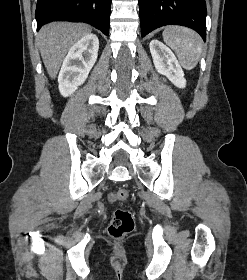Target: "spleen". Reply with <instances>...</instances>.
<instances>
[{
	"label": "spleen",
	"mask_w": 247,
	"mask_h": 280,
	"mask_svg": "<svg viewBox=\"0 0 247 280\" xmlns=\"http://www.w3.org/2000/svg\"><path fill=\"white\" fill-rule=\"evenodd\" d=\"M163 39L174 50L183 68L191 70L196 67L202 53V40L195 31L169 26L163 31Z\"/></svg>",
	"instance_id": "spleen-1"
}]
</instances>
